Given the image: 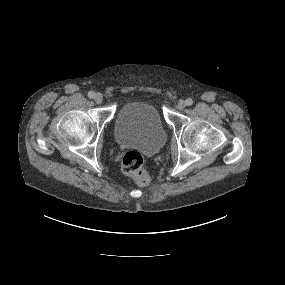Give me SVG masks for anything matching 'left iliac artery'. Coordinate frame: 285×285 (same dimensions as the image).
<instances>
[{
	"label": "left iliac artery",
	"mask_w": 285,
	"mask_h": 285,
	"mask_svg": "<svg viewBox=\"0 0 285 285\" xmlns=\"http://www.w3.org/2000/svg\"><path fill=\"white\" fill-rule=\"evenodd\" d=\"M186 105L191 106L193 104V100L191 98L186 99Z\"/></svg>",
	"instance_id": "44dca946"
}]
</instances>
